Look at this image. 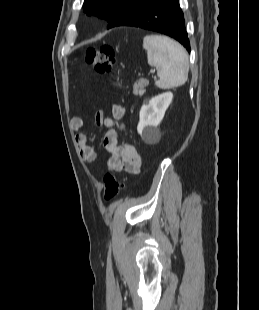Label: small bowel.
<instances>
[{"mask_svg": "<svg viewBox=\"0 0 259 310\" xmlns=\"http://www.w3.org/2000/svg\"><path fill=\"white\" fill-rule=\"evenodd\" d=\"M125 109L121 105H113L112 116L104 117L103 111L96 113V123L106 129L102 143L109 153L106 159L107 168L110 171L137 174L141 168V157L135 147L124 140L118 143L117 127H122L118 121L123 117ZM71 129L76 133L75 142L81 158L86 162H93L97 158L96 151L90 146L88 138L79 131L83 128V120L79 117H73L70 122Z\"/></svg>", "mask_w": 259, "mask_h": 310, "instance_id": "1", "label": "small bowel"}]
</instances>
